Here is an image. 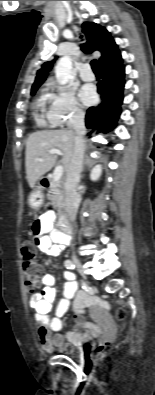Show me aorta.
I'll use <instances>...</instances> for the list:
<instances>
[{"label":"aorta","mask_w":155,"mask_h":395,"mask_svg":"<svg viewBox=\"0 0 155 395\" xmlns=\"http://www.w3.org/2000/svg\"><path fill=\"white\" fill-rule=\"evenodd\" d=\"M55 75L59 84L65 85L72 78V60L69 56L59 59L55 66Z\"/></svg>","instance_id":"obj_1"}]
</instances>
